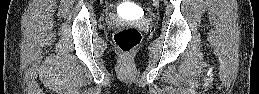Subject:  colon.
I'll use <instances>...</instances> for the list:
<instances>
[{
  "instance_id": "1",
  "label": "colon",
  "mask_w": 259,
  "mask_h": 94,
  "mask_svg": "<svg viewBox=\"0 0 259 94\" xmlns=\"http://www.w3.org/2000/svg\"><path fill=\"white\" fill-rule=\"evenodd\" d=\"M114 43L123 56L128 57L141 41L140 31L133 26L118 29L113 36Z\"/></svg>"
}]
</instances>
